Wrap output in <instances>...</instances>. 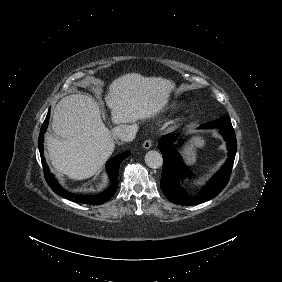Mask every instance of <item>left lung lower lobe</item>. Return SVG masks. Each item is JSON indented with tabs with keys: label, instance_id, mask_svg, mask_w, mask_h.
<instances>
[{
	"label": "left lung lower lobe",
	"instance_id": "0a47b994",
	"mask_svg": "<svg viewBox=\"0 0 282 282\" xmlns=\"http://www.w3.org/2000/svg\"><path fill=\"white\" fill-rule=\"evenodd\" d=\"M218 128L227 142L228 159L222 168L204 186L200 194L188 195L180 185V179L192 173L182 162L173 142L176 133H170L160 138L158 147L163 153L164 165L162 168L161 189L169 201L183 206L196 205L208 201L217 196L227 185L232 172L235 159L237 141L229 116L225 115L219 119L200 125L199 128Z\"/></svg>",
	"mask_w": 282,
	"mask_h": 282
}]
</instances>
